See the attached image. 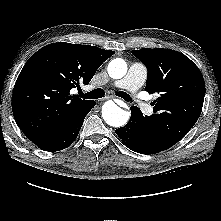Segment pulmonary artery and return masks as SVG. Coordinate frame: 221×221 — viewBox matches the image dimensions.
<instances>
[{"label": "pulmonary artery", "mask_w": 221, "mask_h": 221, "mask_svg": "<svg viewBox=\"0 0 221 221\" xmlns=\"http://www.w3.org/2000/svg\"><path fill=\"white\" fill-rule=\"evenodd\" d=\"M147 78V69L141 63H133L125 75L120 80L115 81L112 86L115 88H123L130 91L134 96L139 88L144 84ZM140 107L145 114L152 113V107L144 102H140Z\"/></svg>", "instance_id": "obj_1"}]
</instances>
